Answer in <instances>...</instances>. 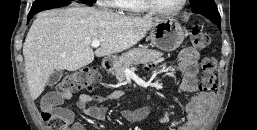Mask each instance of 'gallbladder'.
Returning <instances> with one entry per match:
<instances>
[{
  "label": "gallbladder",
  "mask_w": 257,
  "mask_h": 130,
  "mask_svg": "<svg viewBox=\"0 0 257 130\" xmlns=\"http://www.w3.org/2000/svg\"><path fill=\"white\" fill-rule=\"evenodd\" d=\"M63 76V70H55L47 81L48 86H54L57 84Z\"/></svg>",
  "instance_id": "1"
}]
</instances>
